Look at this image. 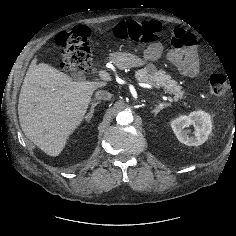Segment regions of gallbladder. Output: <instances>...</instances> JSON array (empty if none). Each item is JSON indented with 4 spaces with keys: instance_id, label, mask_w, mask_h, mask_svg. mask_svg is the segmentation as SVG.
I'll return each instance as SVG.
<instances>
[{
    "instance_id": "obj_1",
    "label": "gallbladder",
    "mask_w": 236,
    "mask_h": 236,
    "mask_svg": "<svg viewBox=\"0 0 236 236\" xmlns=\"http://www.w3.org/2000/svg\"><path fill=\"white\" fill-rule=\"evenodd\" d=\"M47 52H48V50H47ZM73 76H74V78H76V79H81V74H80V73L75 72V73L73 74Z\"/></svg>"
}]
</instances>
